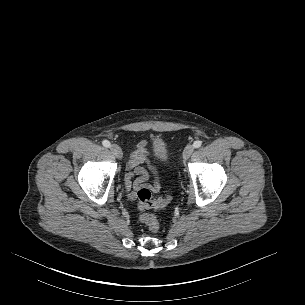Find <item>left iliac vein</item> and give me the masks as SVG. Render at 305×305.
Returning <instances> with one entry per match:
<instances>
[{"instance_id": "obj_1", "label": "left iliac vein", "mask_w": 305, "mask_h": 305, "mask_svg": "<svg viewBox=\"0 0 305 305\" xmlns=\"http://www.w3.org/2000/svg\"><path fill=\"white\" fill-rule=\"evenodd\" d=\"M193 151H194V146L193 145H187L184 149V152H183V158L185 160H187L191 156Z\"/></svg>"}]
</instances>
